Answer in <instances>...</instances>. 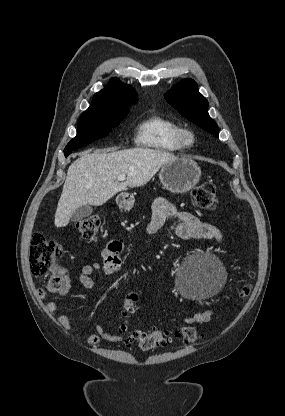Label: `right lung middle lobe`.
Masks as SVG:
<instances>
[{
  "label": "right lung middle lobe",
  "mask_w": 285,
  "mask_h": 416,
  "mask_svg": "<svg viewBox=\"0 0 285 416\" xmlns=\"http://www.w3.org/2000/svg\"><path fill=\"white\" fill-rule=\"evenodd\" d=\"M129 108L119 109H89L80 116L77 135L65 147L64 152H70L109 134L112 128L118 126L127 116Z\"/></svg>",
  "instance_id": "obj_1"
}]
</instances>
